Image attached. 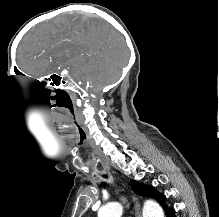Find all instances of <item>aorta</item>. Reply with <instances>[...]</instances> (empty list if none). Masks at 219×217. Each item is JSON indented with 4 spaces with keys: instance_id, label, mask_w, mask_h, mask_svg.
Segmentation results:
<instances>
[{
    "instance_id": "1",
    "label": "aorta",
    "mask_w": 219,
    "mask_h": 217,
    "mask_svg": "<svg viewBox=\"0 0 219 217\" xmlns=\"http://www.w3.org/2000/svg\"><path fill=\"white\" fill-rule=\"evenodd\" d=\"M122 206L119 203H110L98 211V217H121ZM143 217H164L160 205L154 201H147L143 207Z\"/></svg>"
}]
</instances>
